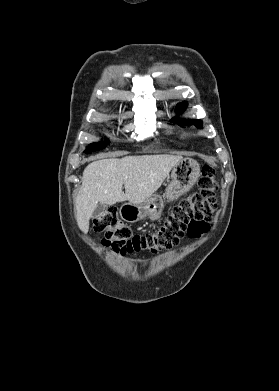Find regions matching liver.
Listing matches in <instances>:
<instances>
[{
	"mask_svg": "<svg viewBox=\"0 0 279 391\" xmlns=\"http://www.w3.org/2000/svg\"><path fill=\"white\" fill-rule=\"evenodd\" d=\"M182 159L180 155L164 154L105 158L90 163L83 172L75 201L80 230L88 232L89 220L98 203H143L160 188L171 169Z\"/></svg>",
	"mask_w": 279,
	"mask_h": 391,
	"instance_id": "6515ba94",
	"label": "liver"
}]
</instances>
